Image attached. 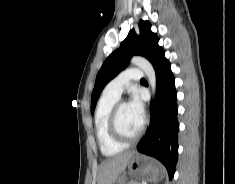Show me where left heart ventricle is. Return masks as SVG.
I'll return each instance as SVG.
<instances>
[{
	"label": "left heart ventricle",
	"mask_w": 235,
	"mask_h": 184,
	"mask_svg": "<svg viewBox=\"0 0 235 184\" xmlns=\"http://www.w3.org/2000/svg\"><path fill=\"white\" fill-rule=\"evenodd\" d=\"M118 122L124 135L127 137H134L138 134L142 126L143 119L136 117L126 104L123 105L119 111Z\"/></svg>",
	"instance_id": "b2bd125f"
}]
</instances>
